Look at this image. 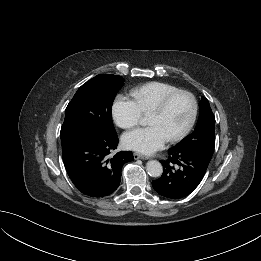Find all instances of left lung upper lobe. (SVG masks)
Returning <instances> with one entry per match:
<instances>
[{"label":"left lung upper lobe","instance_id":"5c2ea615","mask_svg":"<svg viewBox=\"0 0 261 261\" xmlns=\"http://www.w3.org/2000/svg\"><path fill=\"white\" fill-rule=\"evenodd\" d=\"M199 108L200 114L194 132L173 148L196 152L210 161L215 147V118L205 97H202Z\"/></svg>","mask_w":261,"mask_h":261}]
</instances>
